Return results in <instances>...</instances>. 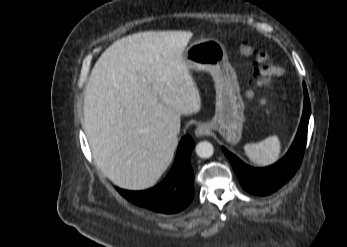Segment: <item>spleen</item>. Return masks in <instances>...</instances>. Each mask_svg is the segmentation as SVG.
Segmentation results:
<instances>
[{"instance_id":"1","label":"spleen","mask_w":347,"mask_h":247,"mask_svg":"<svg viewBox=\"0 0 347 247\" xmlns=\"http://www.w3.org/2000/svg\"><path fill=\"white\" fill-rule=\"evenodd\" d=\"M282 145L280 138L269 136L266 139L249 143L245 146V153L251 162L257 166H268L276 162L281 153Z\"/></svg>"}]
</instances>
